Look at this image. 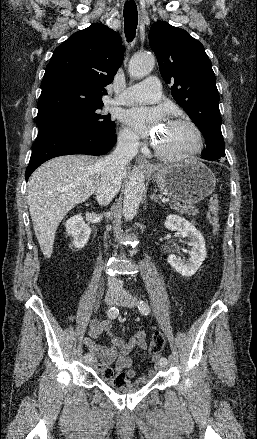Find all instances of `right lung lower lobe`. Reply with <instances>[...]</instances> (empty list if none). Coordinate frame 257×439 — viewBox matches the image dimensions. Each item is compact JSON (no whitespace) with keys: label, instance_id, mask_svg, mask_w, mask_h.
<instances>
[{"label":"right lung lower lobe","instance_id":"98d812e1","mask_svg":"<svg viewBox=\"0 0 257 439\" xmlns=\"http://www.w3.org/2000/svg\"><path fill=\"white\" fill-rule=\"evenodd\" d=\"M116 143V134L74 123H54L39 128L25 172L26 181L45 161L62 155H103Z\"/></svg>","mask_w":257,"mask_h":439}]
</instances>
